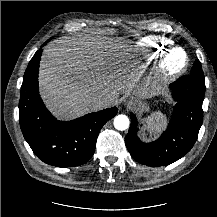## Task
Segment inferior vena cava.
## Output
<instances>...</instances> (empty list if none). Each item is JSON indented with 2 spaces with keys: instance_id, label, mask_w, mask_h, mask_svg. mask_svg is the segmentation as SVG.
Listing matches in <instances>:
<instances>
[{
  "instance_id": "602c4592",
  "label": "inferior vena cava",
  "mask_w": 217,
  "mask_h": 217,
  "mask_svg": "<svg viewBox=\"0 0 217 217\" xmlns=\"http://www.w3.org/2000/svg\"><path fill=\"white\" fill-rule=\"evenodd\" d=\"M111 103V100L97 96L90 97L88 100V104L92 111L101 110L107 106H110Z\"/></svg>"
}]
</instances>
